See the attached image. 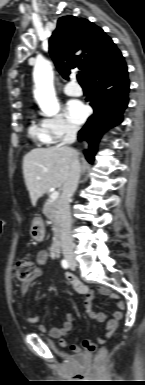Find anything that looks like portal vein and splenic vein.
<instances>
[{"label": "portal vein and splenic vein", "mask_w": 145, "mask_h": 385, "mask_svg": "<svg viewBox=\"0 0 145 385\" xmlns=\"http://www.w3.org/2000/svg\"><path fill=\"white\" fill-rule=\"evenodd\" d=\"M39 179V178H38ZM59 197V192L58 191H53L50 195V198L52 200H56Z\"/></svg>", "instance_id": "obj_1"}]
</instances>
